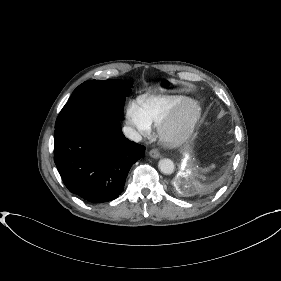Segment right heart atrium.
Segmentation results:
<instances>
[{"label": "right heart atrium", "instance_id": "right-heart-atrium-1", "mask_svg": "<svg viewBox=\"0 0 281 281\" xmlns=\"http://www.w3.org/2000/svg\"><path fill=\"white\" fill-rule=\"evenodd\" d=\"M127 122L134 127L140 134L146 135L149 132V127L143 122L140 117L136 104H129L126 108Z\"/></svg>", "mask_w": 281, "mask_h": 281}]
</instances>
